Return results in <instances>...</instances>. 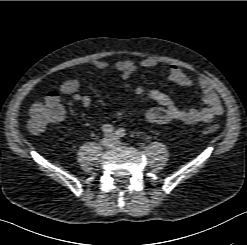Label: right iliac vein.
Wrapping results in <instances>:
<instances>
[{"mask_svg": "<svg viewBox=\"0 0 247 245\" xmlns=\"http://www.w3.org/2000/svg\"><path fill=\"white\" fill-rule=\"evenodd\" d=\"M102 144L105 147H110L114 144V138L111 135H106L103 139H102Z\"/></svg>", "mask_w": 247, "mask_h": 245, "instance_id": "1", "label": "right iliac vein"}]
</instances>
